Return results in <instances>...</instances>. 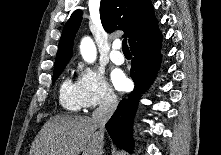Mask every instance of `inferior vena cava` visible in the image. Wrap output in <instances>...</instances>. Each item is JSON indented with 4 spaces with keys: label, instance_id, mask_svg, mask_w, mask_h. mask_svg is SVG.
Here are the masks:
<instances>
[{
    "label": "inferior vena cava",
    "instance_id": "inferior-vena-cava-1",
    "mask_svg": "<svg viewBox=\"0 0 221 155\" xmlns=\"http://www.w3.org/2000/svg\"><path fill=\"white\" fill-rule=\"evenodd\" d=\"M117 107V97L112 90H108L99 107L94 110L92 114V119L99 129L97 132L99 140V153L98 155H103V140H104V127L107 121L110 119L111 115Z\"/></svg>",
    "mask_w": 221,
    "mask_h": 155
}]
</instances>
